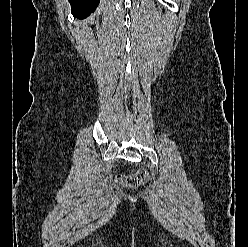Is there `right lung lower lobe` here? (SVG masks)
<instances>
[{
    "instance_id": "98d812e1",
    "label": "right lung lower lobe",
    "mask_w": 248,
    "mask_h": 247,
    "mask_svg": "<svg viewBox=\"0 0 248 247\" xmlns=\"http://www.w3.org/2000/svg\"><path fill=\"white\" fill-rule=\"evenodd\" d=\"M100 0H69L75 14L86 17L98 6Z\"/></svg>"
}]
</instances>
